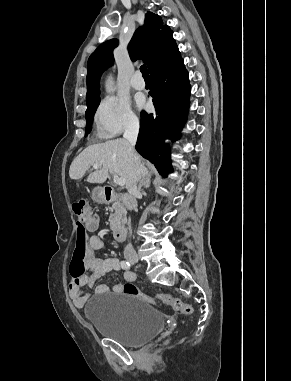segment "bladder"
I'll return each mask as SVG.
<instances>
[{
  "mask_svg": "<svg viewBox=\"0 0 291 381\" xmlns=\"http://www.w3.org/2000/svg\"><path fill=\"white\" fill-rule=\"evenodd\" d=\"M85 317L99 335L129 347L149 342L165 326L162 314L147 301L122 292L89 298Z\"/></svg>",
  "mask_w": 291,
  "mask_h": 381,
  "instance_id": "bladder-1",
  "label": "bladder"
}]
</instances>
